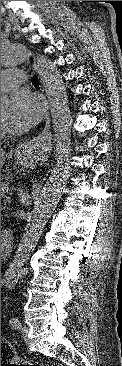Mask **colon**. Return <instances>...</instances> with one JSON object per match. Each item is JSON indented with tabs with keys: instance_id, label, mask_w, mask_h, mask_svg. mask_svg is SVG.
<instances>
[{
	"instance_id": "5ec220e1",
	"label": "colon",
	"mask_w": 122,
	"mask_h": 366,
	"mask_svg": "<svg viewBox=\"0 0 122 366\" xmlns=\"http://www.w3.org/2000/svg\"><path fill=\"white\" fill-rule=\"evenodd\" d=\"M12 362L14 360L13 350L10 344L1 339V360ZM3 359V360H4ZM3 366H39L35 363H24L22 365H16L14 363L3 364Z\"/></svg>"
}]
</instances>
